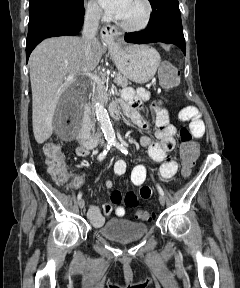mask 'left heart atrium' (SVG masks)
<instances>
[{
  "label": "left heart atrium",
  "mask_w": 240,
  "mask_h": 288,
  "mask_svg": "<svg viewBox=\"0 0 240 288\" xmlns=\"http://www.w3.org/2000/svg\"><path fill=\"white\" fill-rule=\"evenodd\" d=\"M100 5L111 15L121 18L130 0H98Z\"/></svg>",
  "instance_id": "39dd6f15"
}]
</instances>
